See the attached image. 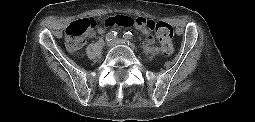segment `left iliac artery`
I'll use <instances>...</instances> for the list:
<instances>
[{
    "label": "left iliac artery",
    "mask_w": 255,
    "mask_h": 122,
    "mask_svg": "<svg viewBox=\"0 0 255 122\" xmlns=\"http://www.w3.org/2000/svg\"><path fill=\"white\" fill-rule=\"evenodd\" d=\"M132 36H133V34H132L131 32H126V33H124V39H126V40L131 39Z\"/></svg>",
    "instance_id": "1"
}]
</instances>
